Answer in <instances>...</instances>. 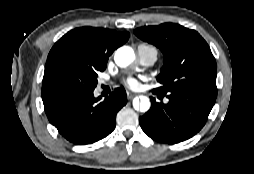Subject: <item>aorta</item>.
<instances>
[{
	"instance_id": "762f6f07",
	"label": "aorta",
	"mask_w": 254,
	"mask_h": 174,
	"mask_svg": "<svg viewBox=\"0 0 254 174\" xmlns=\"http://www.w3.org/2000/svg\"><path fill=\"white\" fill-rule=\"evenodd\" d=\"M115 63L119 67H127L135 60V54L130 47H121L115 52ZM151 103L148 97L140 96L133 100V107L141 112H147L150 109Z\"/></svg>"
}]
</instances>
